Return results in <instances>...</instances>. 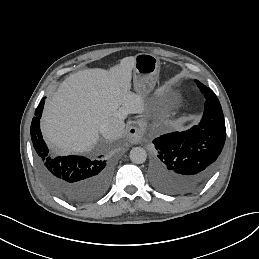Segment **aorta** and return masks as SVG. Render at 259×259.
Wrapping results in <instances>:
<instances>
[{"label": "aorta", "instance_id": "obj_1", "mask_svg": "<svg viewBox=\"0 0 259 259\" xmlns=\"http://www.w3.org/2000/svg\"><path fill=\"white\" fill-rule=\"evenodd\" d=\"M147 153L142 147H134L130 151V160L135 164H142L146 161Z\"/></svg>", "mask_w": 259, "mask_h": 259}]
</instances>
